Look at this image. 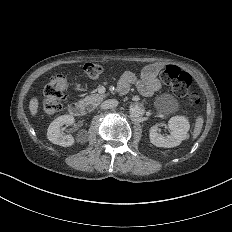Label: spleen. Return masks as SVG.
<instances>
[{
	"instance_id": "1",
	"label": "spleen",
	"mask_w": 232,
	"mask_h": 232,
	"mask_svg": "<svg viewBox=\"0 0 232 232\" xmlns=\"http://www.w3.org/2000/svg\"><path fill=\"white\" fill-rule=\"evenodd\" d=\"M203 122H204V120L201 116L197 117L196 123H195V128L193 131V138L194 139H196L199 136V134L201 133Z\"/></svg>"
}]
</instances>
